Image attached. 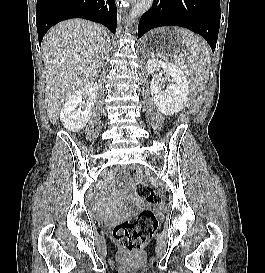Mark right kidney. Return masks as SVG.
I'll use <instances>...</instances> for the list:
<instances>
[{"mask_svg": "<svg viewBox=\"0 0 265 273\" xmlns=\"http://www.w3.org/2000/svg\"><path fill=\"white\" fill-rule=\"evenodd\" d=\"M97 91L98 84L91 82L75 91L67 99L60 111V119L68 131L78 132L88 123L97 98ZM84 95L87 97V103L83 105L82 97Z\"/></svg>", "mask_w": 265, "mask_h": 273, "instance_id": "obj_1", "label": "right kidney"}]
</instances>
